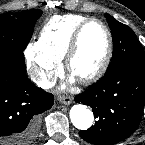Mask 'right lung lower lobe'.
<instances>
[{
  "instance_id": "1",
  "label": "right lung lower lobe",
  "mask_w": 145,
  "mask_h": 145,
  "mask_svg": "<svg viewBox=\"0 0 145 145\" xmlns=\"http://www.w3.org/2000/svg\"><path fill=\"white\" fill-rule=\"evenodd\" d=\"M50 93L27 77L23 52L0 53V145H31L38 115L53 105Z\"/></svg>"
}]
</instances>
